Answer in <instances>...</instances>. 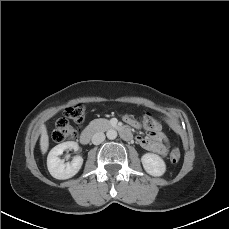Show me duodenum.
I'll return each instance as SVG.
<instances>
[{
	"mask_svg": "<svg viewBox=\"0 0 229 229\" xmlns=\"http://www.w3.org/2000/svg\"><path fill=\"white\" fill-rule=\"evenodd\" d=\"M110 128L119 129L120 135L123 139L125 140L132 139V135L127 128L125 127L120 128L118 124L116 123L111 124ZM96 132H97V129L94 126L86 127L80 135V142L84 145H87L91 141L92 137L96 134Z\"/></svg>",
	"mask_w": 229,
	"mask_h": 229,
	"instance_id": "obj_1",
	"label": "duodenum"
}]
</instances>
